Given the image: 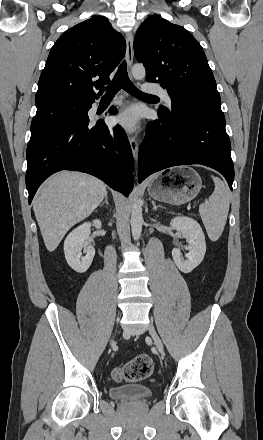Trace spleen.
<instances>
[{"label":"spleen","instance_id":"spleen-1","mask_svg":"<svg viewBox=\"0 0 263 440\" xmlns=\"http://www.w3.org/2000/svg\"><path fill=\"white\" fill-rule=\"evenodd\" d=\"M211 178L215 189L208 201L199 206V213L209 239L217 241L226 224L230 205V191L220 178L213 175Z\"/></svg>","mask_w":263,"mask_h":440}]
</instances>
